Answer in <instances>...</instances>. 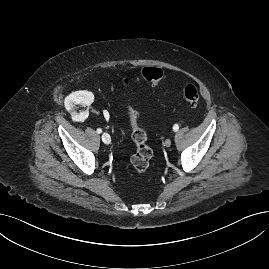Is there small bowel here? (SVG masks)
Here are the masks:
<instances>
[{
    "mask_svg": "<svg viewBox=\"0 0 269 269\" xmlns=\"http://www.w3.org/2000/svg\"><path fill=\"white\" fill-rule=\"evenodd\" d=\"M104 116H105V118H108V115L107 114H105Z\"/></svg>",
    "mask_w": 269,
    "mask_h": 269,
    "instance_id": "small-bowel-1",
    "label": "small bowel"
}]
</instances>
